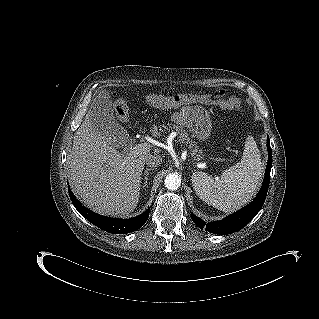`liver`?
Instances as JSON below:
<instances>
[{
  "label": "liver",
  "mask_w": 319,
  "mask_h": 319,
  "mask_svg": "<svg viewBox=\"0 0 319 319\" xmlns=\"http://www.w3.org/2000/svg\"><path fill=\"white\" fill-rule=\"evenodd\" d=\"M149 156V151L136 156L120 153L115 139L97 133L92 112L88 111L75 132L69 155L72 191L94 212L107 216L129 215L138 204L141 176Z\"/></svg>",
  "instance_id": "obj_1"
}]
</instances>
